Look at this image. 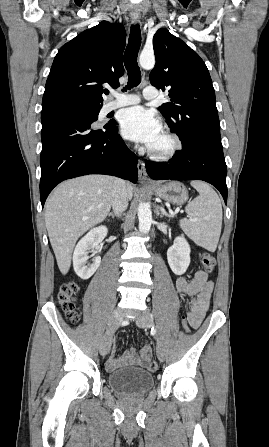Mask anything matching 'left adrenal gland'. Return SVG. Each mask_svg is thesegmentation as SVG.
<instances>
[{"label":"left adrenal gland","mask_w":269,"mask_h":447,"mask_svg":"<svg viewBox=\"0 0 269 447\" xmlns=\"http://www.w3.org/2000/svg\"><path fill=\"white\" fill-rule=\"evenodd\" d=\"M155 210H156L155 214H156V216L158 218V216H160V212H159L158 206H156ZM160 218H164V216H160Z\"/></svg>","instance_id":"left-adrenal-gland-1"}]
</instances>
